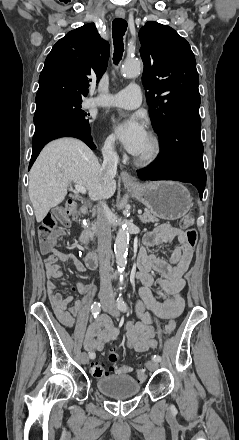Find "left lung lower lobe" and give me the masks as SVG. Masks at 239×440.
I'll use <instances>...</instances> for the list:
<instances>
[{
    "label": "left lung lower lobe",
    "mask_w": 239,
    "mask_h": 440,
    "mask_svg": "<svg viewBox=\"0 0 239 440\" xmlns=\"http://www.w3.org/2000/svg\"><path fill=\"white\" fill-rule=\"evenodd\" d=\"M200 129V117L185 116L168 123L158 135L162 150L156 163L149 169L138 171V176L146 180L192 183L202 199L206 173Z\"/></svg>",
    "instance_id": "left-lung-lower-lobe-1"
}]
</instances>
